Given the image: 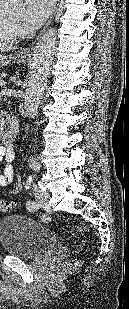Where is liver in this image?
<instances>
[{
  "label": "liver",
  "instance_id": "6515ba94",
  "mask_svg": "<svg viewBox=\"0 0 129 309\" xmlns=\"http://www.w3.org/2000/svg\"><path fill=\"white\" fill-rule=\"evenodd\" d=\"M14 49L15 47L13 45H9L7 43H0V52H8Z\"/></svg>",
  "mask_w": 129,
  "mask_h": 309
}]
</instances>
